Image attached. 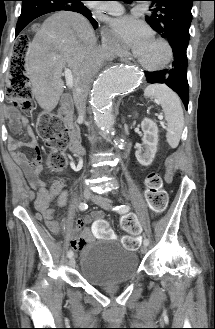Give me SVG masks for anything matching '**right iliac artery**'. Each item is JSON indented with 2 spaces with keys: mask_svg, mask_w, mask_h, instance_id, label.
<instances>
[{
  "mask_svg": "<svg viewBox=\"0 0 215 329\" xmlns=\"http://www.w3.org/2000/svg\"><path fill=\"white\" fill-rule=\"evenodd\" d=\"M87 208H88V205L86 203H80V205H79L80 210L85 211ZM67 256L69 258L72 257L73 256V251L69 250L68 253H67Z\"/></svg>",
  "mask_w": 215,
  "mask_h": 329,
  "instance_id": "obj_1",
  "label": "right iliac artery"
}]
</instances>
